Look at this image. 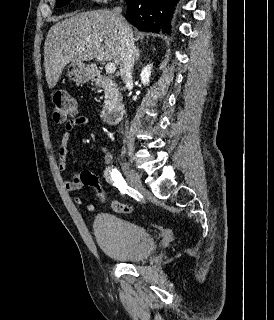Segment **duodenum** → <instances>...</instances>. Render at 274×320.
Here are the masks:
<instances>
[{
    "instance_id": "410a0bca",
    "label": "duodenum",
    "mask_w": 274,
    "mask_h": 320,
    "mask_svg": "<svg viewBox=\"0 0 274 320\" xmlns=\"http://www.w3.org/2000/svg\"><path fill=\"white\" fill-rule=\"evenodd\" d=\"M93 78L100 83L105 81V77L100 72L94 73ZM124 113L125 105L118 103L104 110L102 116L105 123L115 124L122 120Z\"/></svg>"
}]
</instances>
